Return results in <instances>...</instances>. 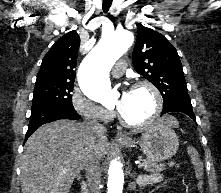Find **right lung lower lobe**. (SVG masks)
Instances as JSON below:
<instances>
[{"instance_id": "obj_1", "label": "right lung lower lobe", "mask_w": 221, "mask_h": 193, "mask_svg": "<svg viewBox=\"0 0 221 193\" xmlns=\"http://www.w3.org/2000/svg\"><path fill=\"white\" fill-rule=\"evenodd\" d=\"M79 118L80 115L74 109H66L61 107L47 108L35 113H31L30 123L28 125V131L26 133L25 141L33 132H35L39 128V126L45 123L58 119L77 120Z\"/></svg>"}]
</instances>
